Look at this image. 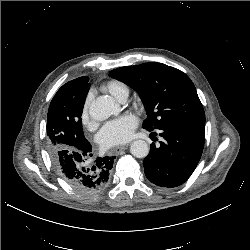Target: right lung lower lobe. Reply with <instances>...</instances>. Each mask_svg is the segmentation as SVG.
Segmentation results:
<instances>
[{
  "instance_id": "1",
  "label": "right lung lower lobe",
  "mask_w": 250,
  "mask_h": 250,
  "mask_svg": "<svg viewBox=\"0 0 250 250\" xmlns=\"http://www.w3.org/2000/svg\"><path fill=\"white\" fill-rule=\"evenodd\" d=\"M90 157H92L90 143L80 150L63 149L51 154L58 174L83 197L97 195L107 187L115 158L106 156L91 160Z\"/></svg>"
}]
</instances>
